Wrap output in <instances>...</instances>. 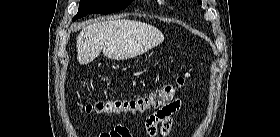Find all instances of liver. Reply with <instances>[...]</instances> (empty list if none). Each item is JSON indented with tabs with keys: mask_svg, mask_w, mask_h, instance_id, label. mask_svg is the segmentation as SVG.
<instances>
[{
	"mask_svg": "<svg viewBox=\"0 0 280 137\" xmlns=\"http://www.w3.org/2000/svg\"><path fill=\"white\" fill-rule=\"evenodd\" d=\"M164 41L156 27L133 20L115 19L87 25L76 41L77 59L81 65L103 54L114 60L141 55Z\"/></svg>",
	"mask_w": 280,
	"mask_h": 137,
	"instance_id": "liver-1",
	"label": "liver"
}]
</instances>
